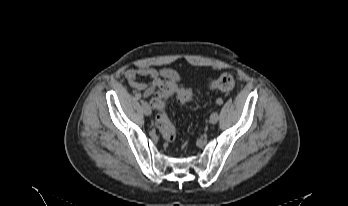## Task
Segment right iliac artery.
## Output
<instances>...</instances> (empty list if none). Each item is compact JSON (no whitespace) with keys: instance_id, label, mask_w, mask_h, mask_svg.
<instances>
[{"instance_id":"right-iliac-artery-1","label":"right iliac artery","mask_w":348,"mask_h":206,"mask_svg":"<svg viewBox=\"0 0 348 206\" xmlns=\"http://www.w3.org/2000/svg\"><path fill=\"white\" fill-rule=\"evenodd\" d=\"M136 98L140 99L141 98V94L140 93L136 94Z\"/></svg>"}]
</instances>
